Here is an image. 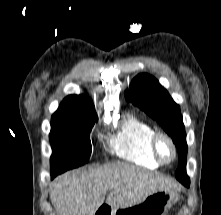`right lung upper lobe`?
<instances>
[{"mask_svg":"<svg viewBox=\"0 0 221 215\" xmlns=\"http://www.w3.org/2000/svg\"><path fill=\"white\" fill-rule=\"evenodd\" d=\"M78 104L94 105L87 95H69L63 100L59 107H68Z\"/></svg>","mask_w":221,"mask_h":215,"instance_id":"cb5924a9","label":"right lung upper lobe"}]
</instances>
